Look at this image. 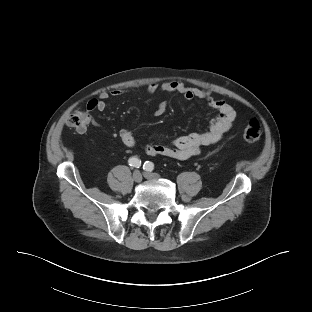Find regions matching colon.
I'll return each mask as SVG.
<instances>
[{
  "mask_svg": "<svg viewBox=\"0 0 312 312\" xmlns=\"http://www.w3.org/2000/svg\"><path fill=\"white\" fill-rule=\"evenodd\" d=\"M67 125L77 131H83L89 124L88 114L80 109L72 111L67 118ZM261 136V124L259 120L251 119L243 130V138L247 142H255Z\"/></svg>",
  "mask_w": 312,
  "mask_h": 312,
  "instance_id": "obj_1",
  "label": "colon"
}]
</instances>
